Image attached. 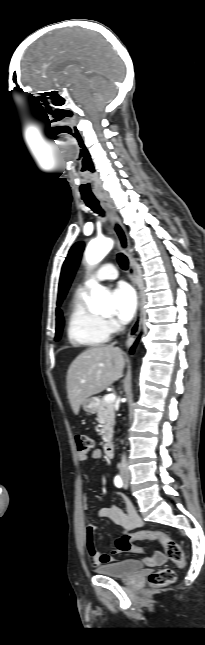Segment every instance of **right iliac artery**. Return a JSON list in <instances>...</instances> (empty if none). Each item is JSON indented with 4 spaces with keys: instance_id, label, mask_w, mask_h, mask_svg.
Segmentation results:
<instances>
[{
    "instance_id": "right-iliac-artery-1",
    "label": "right iliac artery",
    "mask_w": 205,
    "mask_h": 645,
    "mask_svg": "<svg viewBox=\"0 0 205 645\" xmlns=\"http://www.w3.org/2000/svg\"><path fill=\"white\" fill-rule=\"evenodd\" d=\"M114 484L116 487L121 488L123 485L122 479L119 475H117L114 479Z\"/></svg>"
}]
</instances>
